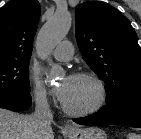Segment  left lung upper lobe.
Listing matches in <instances>:
<instances>
[{
  "label": "left lung upper lobe",
  "mask_w": 141,
  "mask_h": 139,
  "mask_svg": "<svg viewBox=\"0 0 141 139\" xmlns=\"http://www.w3.org/2000/svg\"><path fill=\"white\" fill-rule=\"evenodd\" d=\"M76 40L83 59L104 81L106 104L141 92V49L129 20L102 1L76 9Z\"/></svg>",
  "instance_id": "left-lung-upper-lobe-1"
}]
</instances>
